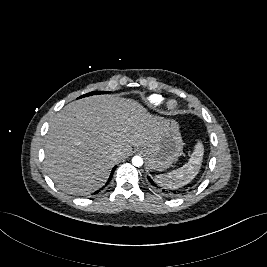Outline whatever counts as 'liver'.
<instances>
[{
    "mask_svg": "<svg viewBox=\"0 0 267 267\" xmlns=\"http://www.w3.org/2000/svg\"><path fill=\"white\" fill-rule=\"evenodd\" d=\"M162 128L160 117L139 102L114 95L83 98L66 105L50 122L45 137V167L57 186L86 195L101 188L112 167L149 147ZM121 151L118 158L112 153Z\"/></svg>",
    "mask_w": 267,
    "mask_h": 267,
    "instance_id": "liver-1",
    "label": "liver"
}]
</instances>
